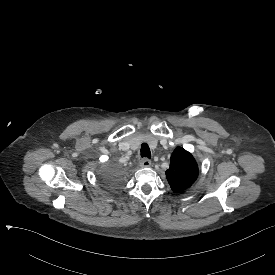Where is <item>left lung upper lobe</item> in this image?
<instances>
[{"label":"left lung upper lobe","mask_w":275,"mask_h":275,"mask_svg":"<svg viewBox=\"0 0 275 275\" xmlns=\"http://www.w3.org/2000/svg\"><path fill=\"white\" fill-rule=\"evenodd\" d=\"M197 176L198 166L193 156L182 147L175 148L166 171L171 189L174 192L184 191L194 183Z\"/></svg>","instance_id":"5c2ea615"}]
</instances>
